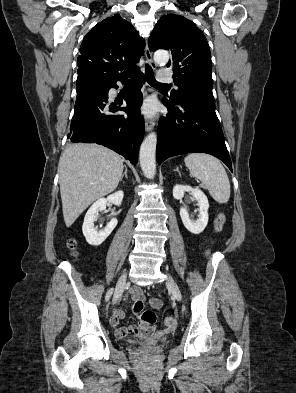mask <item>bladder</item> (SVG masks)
<instances>
[{
    "mask_svg": "<svg viewBox=\"0 0 296 393\" xmlns=\"http://www.w3.org/2000/svg\"><path fill=\"white\" fill-rule=\"evenodd\" d=\"M167 342V338L165 336H157L155 337V343L156 344H164Z\"/></svg>",
    "mask_w": 296,
    "mask_h": 393,
    "instance_id": "31cf9c89",
    "label": "bladder"
}]
</instances>
